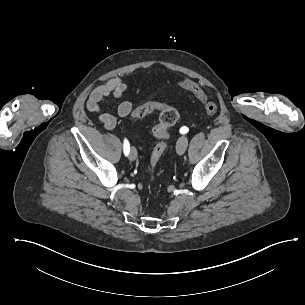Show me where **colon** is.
Returning a JSON list of instances; mask_svg holds the SVG:
<instances>
[{
    "label": "colon",
    "instance_id": "colon-1",
    "mask_svg": "<svg viewBox=\"0 0 305 305\" xmlns=\"http://www.w3.org/2000/svg\"><path fill=\"white\" fill-rule=\"evenodd\" d=\"M154 87L160 86H174L176 81L174 79H161L153 78L150 81ZM181 86H186L189 88L191 93H195V97L203 104L206 112L210 115H214L218 108L217 106L210 102L204 92L201 89H198L196 84H192V82L188 79L182 78L179 81ZM158 112L159 118L158 122L154 125L152 129V134L159 139V141L154 145L151 155H150V165L152 168L159 162L162 155L165 153L167 149V140L169 138V129L174 125V123L178 119V111L161 101L148 102L139 108L135 109L133 113L134 119H141L151 113Z\"/></svg>",
    "mask_w": 305,
    "mask_h": 305
}]
</instances>
